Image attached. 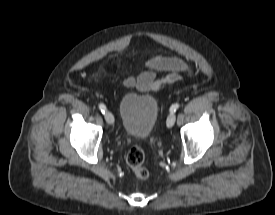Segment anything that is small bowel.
Listing matches in <instances>:
<instances>
[{
  "instance_id": "1",
  "label": "small bowel",
  "mask_w": 275,
  "mask_h": 215,
  "mask_svg": "<svg viewBox=\"0 0 275 215\" xmlns=\"http://www.w3.org/2000/svg\"><path fill=\"white\" fill-rule=\"evenodd\" d=\"M187 69V64L180 58L155 54L146 60L140 75L129 76L124 80V86L141 92H156L165 84L179 81ZM161 71L170 73L162 78H156L157 73Z\"/></svg>"
}]
</instances>
